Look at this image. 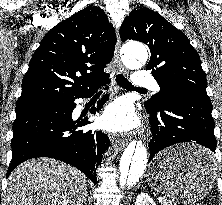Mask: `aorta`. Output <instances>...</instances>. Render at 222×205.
Returning <instances> with one entry per match:
<instances>
[{
    "label": "aorta",
    "instance_id": "aorta-1",
    "mask_svg": "<svg viewBox=\"0 0 222 205\" xmlns=\"http://www.w3.org/2000/svg\"><path fill=\"white\" fill-rule=\"evenodd\" d=\"M123 62L129 68H137L146 63L147 49L138 42L128 43L123 48ZM148 160V151L142 141L131 142L125 149L119 163L117 188L123 192L133 188L143 175Z\"/></svg>",
    "mask_w": 222,
    "mask_h": 205
}]
</instances>
